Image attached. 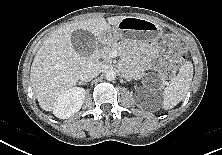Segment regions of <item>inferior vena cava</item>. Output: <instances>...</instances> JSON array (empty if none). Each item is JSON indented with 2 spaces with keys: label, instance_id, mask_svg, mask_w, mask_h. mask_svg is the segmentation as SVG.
Returning a JSON list of instances; mask_svg holds the SVG:
<instances>
[{
  "label": "inferior vena cava",
  "instance_id": "1",
  "mask_svg": "<svg viewBox=\"0 0 222 155\" xmlns=\"http://www.w3.org/2000/svg\"><path fill=\"white\" fill-rule=\"evenodd\" d=\"M102 71V67L99 64H89L85 68L82 69L80 74L81 80L88 82L91 81L94 77L99 75Z\"/></svg>",
  "mask_w": 222,
  "mask_h": 155
}]
</instances>
